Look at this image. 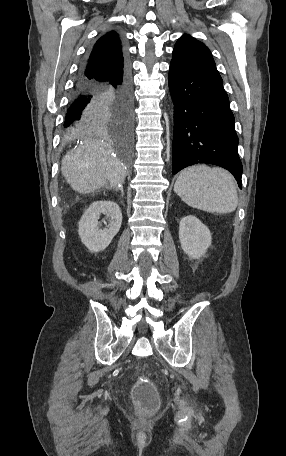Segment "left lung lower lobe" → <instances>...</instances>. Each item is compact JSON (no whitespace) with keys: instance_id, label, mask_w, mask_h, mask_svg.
Here are the masks:
<instances>
[{"instance_id":"left-lung-lower-lobe-1","label":"left lung lower lobe","mask_w":286,"mask_h":456,"mask_svg":"<svg viewBox=\"0 0 286 456\" xmlns=\"http://www.w3.org/2000/svg\"><path fill=\"white\" fill-rule=\"evenodd\" d=\"M223 81L171 62L169 87L174 102L173 168L208 163L229 170L242 188L238 137Z\"/></svg>"}]
</instances>
